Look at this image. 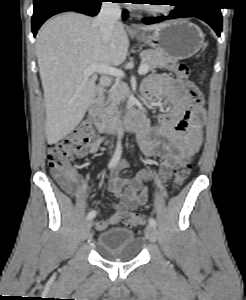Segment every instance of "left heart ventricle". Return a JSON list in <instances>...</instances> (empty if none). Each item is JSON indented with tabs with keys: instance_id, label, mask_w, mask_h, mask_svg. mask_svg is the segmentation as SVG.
<instances>
[{
	"instance_id": "1",
	"label": "left heart ventricle",
	"mask_w": 246,
	"mask_h": 300,
	"mask_svg": "<svg viewBox=\"0 0 246 300\" xmlns=\"http://www.w3.org/2000/svg\"><path fill=\"white\" fill-rule=\"evenodd\" d=\"M165 6H160V7H158V8H164Z\"/></svg>"
}]
</instances>
